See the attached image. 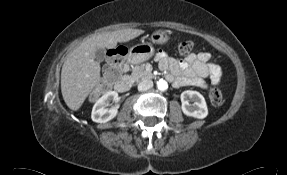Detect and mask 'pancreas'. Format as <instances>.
<instances>
[{
    "mask_svg": "<svg viewBox=\"0 0 287 175\" xmlns=\"http://www.w3.org/2000/svg\"><path fill=\"white\" fill-rule=\"evenodd\" d=\"M151 77V73L145 70L144 65L135 66L129 79L133 81H140Z\"/></svg>",
    "mask_w": 287,
    "mask_h": 175,
    "instance_id": "1",
    "label": "pancreas"
}]
</instances>
